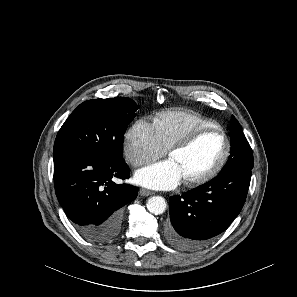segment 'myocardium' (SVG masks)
Here are the masks:
<instances>
[{
	"mask_svg": "<svg viewBox=\"0 0 297 297\" xmlns=\"http://www.w3.org/2000/svg\"><path fill=\"white\" fill-rule=\"evenodd\" d=\"M208 133H217L218 135H220V137L224 142L223 153L220 159L218 160V162L207 172L194 178L185 179L184 183L188 186H198V185L204 184L210 181L211 179H213L222 170V168L224 167V165L228 160V157L230 155V148H231L230 141L227 134L222 128L218 126L200 127L190 131L188 134H186L184 137L179 139L168 149V156H171L175 152L188 148L199 137Z\"/></svg>",
	"mask_w": 297,
	"mask_h": 297,
	"instance_id": "1",
	"label": "myocardium"
}]
</instances>
